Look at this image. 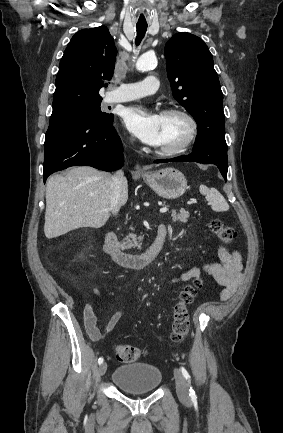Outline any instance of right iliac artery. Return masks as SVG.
Listing matches in <instances>:
<instances>
[{
    "label": "right iliac artery",
    "instance_id": "obj_1",
    "mask_svg": "<svg viewBox=\"0 0 283 433\" xmlns=\"http://www.w3.org/2000/svg\"><path fill=\"white\" fill-rule=\"evenodd\" d=\"M102 362H103V357H100V358L98 359V363H99V365H100Z\"/></svg>",
    "mask_w": 283,
    "mask_h": 433
}]
</instances>
